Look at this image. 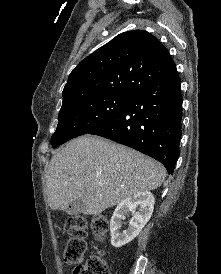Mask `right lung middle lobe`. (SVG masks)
Listing matches in <instances>:
<instances>
[{
    "mask_svg": "<svg viewBox=\"0 0 221 274\" xmlns=\"http://www.w3.org/2000/svg\"><path fill=\"white\" fill-rule=\"evenodd\" d=\"M131 98L129 95H102L62 103L57 129L51 138L52 146L89 134L109 121Z\"/></svg>",
    "mask_w": 221,
    "mask_h": 274,
    "instance_id": "dd1d6c3e",
    "label": "right lung middle lobe"
}]
</instances>
